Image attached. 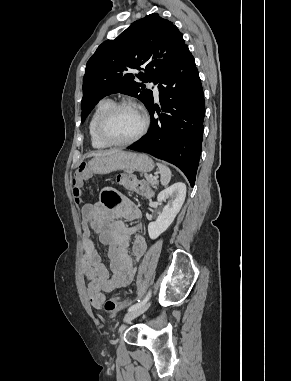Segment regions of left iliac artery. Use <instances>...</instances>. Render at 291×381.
<instances>
[{
    "label": "left iliac artery",
    "instance_id": "left-iliac-artery-1",
    "mask_svg": "<svg viewBox=\"0 0 291 381\" xmlns=\"http://www.w3.org/2000/svg\"><path fill=\"white\" fill-rule=\"evenodd\" d=\"M151 295V291L149 290L148 294L146 295V297H144L142 300H138L137 303L133 304L132 306L129 307L128 311H132V310H135L137 309L138 307H140L142 304H144L145 302H147V300L149 299Z\"/></svg>",
    "mask_w": 291,
    "mask_h": 381
}]
</instances>
